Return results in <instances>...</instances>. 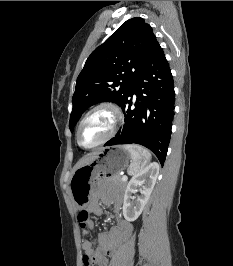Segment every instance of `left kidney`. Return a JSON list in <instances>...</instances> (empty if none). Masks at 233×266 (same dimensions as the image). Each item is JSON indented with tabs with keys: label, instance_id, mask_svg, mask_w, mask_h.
Returning a JSON list of instances; mask_svg holds the SVG:
<instances>
[{
	"label": "left kidney",
	"instance_id": "5707ae66",
	"mask_svg": "<svg viewBox=\"0 0 233 266\" xmlns=\"http://www.w3.org/2000/svg\"><path fill=\"white\" fill-rule=\"evenodd\" d=\"M158 175L159 165L154 162L134 175L129 181L125 190L123 203V215L127 221L131 222L136 220L142 213L153 191ZM137 187H141V195L138 196L134 202H131V199H133L132 194L136 191Z\"/></svg>",
	"mask_w": 233,
	"mask_h": 266
}]
</instances>
